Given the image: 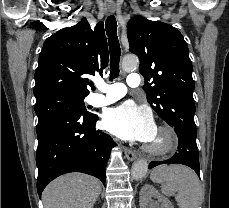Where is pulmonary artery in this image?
<instances>
[{
  "label": "pulmonary artery",
  "mask_w": 229,
  "mask_h": 208,
  "mask_svg": "<svg viewBox=\"0 0 229 208\" xmlns=\"http://www.w3.org/2000/svg\"><path fill=\"white\" fill-rule=\"evenodd\" d=\"M141 75L132 72L126 77V84L129 87H138L141 84ZM96 87L98 93H94L89 97V102L95 106H103L112 103L126 94V85L121 82L108 84L103 80H97Z\"/></svg>",
  "instance_id": "e3ab8cb5"
}]
</instances>
